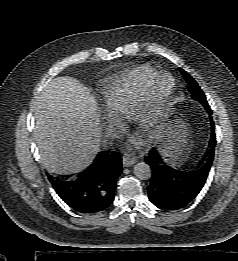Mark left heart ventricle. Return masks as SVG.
I'll return each instance as SVG.
<instances>
[{
    "mask_svg": "<svg viewBox=\"0 0 238 261\" xmlns=\"http://www.w3.org/2000/svg\"><path fill=\"white\" fill-rule=\"evenodd\" d=\"M170 80L167 77H161L153 87V95L156 98L161 97L169 88Z\"/></svg>",
    "mask_w": 238,
    "mask_h": 261,
    "instance_id": "obj_1",
    "label": "left heart ventricle"
}]
</instances>
